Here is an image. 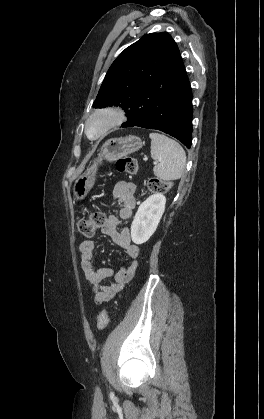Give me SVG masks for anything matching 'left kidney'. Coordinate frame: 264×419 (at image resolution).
Instances as JSON below:
<instances>
[{
  "label": "left kidney",
  "mask_w": 264,
  "mask_h": 419,
  "mask_svg": "<svg viewBox=\"0 0 264 419\" xmlns=\"http://www.w3.org/2000/svg\"><path fill=\"white\" fill-rule=\"evenodd\" d=\"M166 198L156 193L139 206L131 225V238L135 244H143L154 234L164 213Z\"/></svg>",
  "instance_id": "left-kidney-1"
}]
</instances>
